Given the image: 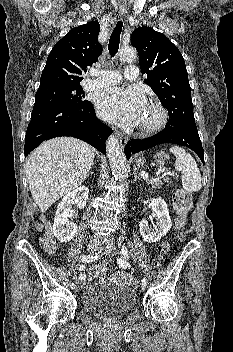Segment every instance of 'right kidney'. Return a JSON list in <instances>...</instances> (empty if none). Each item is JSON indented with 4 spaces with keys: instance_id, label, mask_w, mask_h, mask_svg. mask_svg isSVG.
<instances>
[{
    "instance_id": "right-kidney-1",
    "label": "right kidney",
    "mask_w": 233,
    "mask_h": 352,
    "mask_svg": "<svg viewBox=\"0 0 233 352\" xmlns=\"http://www.w3.org/2000/svg\"><path fill=\"white\" fill-rule=\"evenodd\" d=\"M88 195V187L80 186L72 192L67 193L61 203H59L54 218L53 233L60 242H69L77 232V225L69 221L71 204L75 203L79 209H82L86 204Z\"/></svg>"
}]
</instances>
